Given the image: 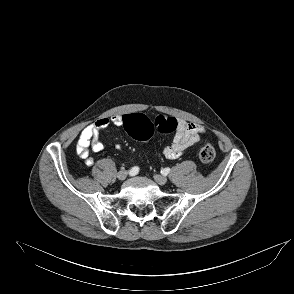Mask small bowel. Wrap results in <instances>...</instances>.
I'll list each match as a JSON object with an SVG mask.
<instances>
[{
	"instance_id": "small-bowel-1",
	"label": "small bowel",
	"mask_w": 294,
	"mask_h": 294,
	"mask_svg": "<svg viewBox=\"0 0 294 294\" xmlns=\"http://www.w3.org/2000/svg\"><path fill=\"white\" fill-rule=\"evenodd\" d=\"M123 117L114 115L107 118H101L96 122L86 126L80 133L76 152L86 165L94 164V159L89 154V148L93 151L100 152L104 149V143L101 134L104 129L109 126H123ZM205 132L203 126L188 122L182 119L177 120V129L171 145L164 147L163 154L168 159H177L182 156L185 151L201 141V134ZM119 147V146H118Z\"/></svg>"
}]
</instances>
